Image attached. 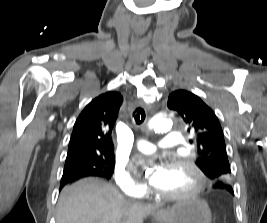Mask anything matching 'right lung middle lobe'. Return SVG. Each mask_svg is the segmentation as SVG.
<instances>
[{"label":"right lung middle lobe","mask_w":267,"mask_h":223,"mask_svg":"<svg viewBox=\"0 0 267 223\" xmlns=\"http://www.w3.org/2000/svg\"><path fill=\"white\" fill-rule=\"evenodd\" d=\"M114 155H92L80 159L66 160L64 171L71 172L81 170L87 173L98 174L101 177L110 178L114 170Z\"/></svg>","instance_id":"obj_1"}]
</instances>
